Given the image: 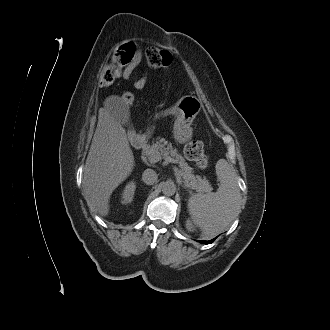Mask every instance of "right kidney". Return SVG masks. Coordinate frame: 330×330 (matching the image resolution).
Returning a JSON list of instances; mask_svg holds the SVG:
<instances>
[{
    "mask_svg": "<svg viewBox=\"0 0 330 330\" xmlns=\"http://www.w3.org/2000/svg\"><path fill=\"white\" fill-rule=\"evenodd\" d=\"M136 190V183L134 181H130L126 184L123 192H122V202L127 204L131 203L134 198V193Z\"/></svg>",
    "mask_w": 330,
    "mask_h": 330,
    "instance_id": "ca27d5eb",
    "label": "right kidney"
}]
</instances>
